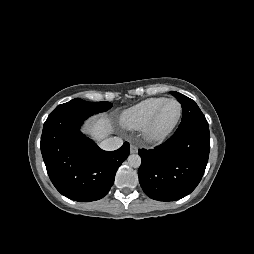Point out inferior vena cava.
I'll return each instance as SVG.
<instances>
[{"instance_id":"1","label":"inferior vena cava","mask_w":254,"mask_h":254,"mask_svg":"<svg viewBox=\"0 0 254 254\" xmlns=\"http://www.w3.org/2000/svg\"><path fill=\"white\" fill-rule=\"evenodd\" d=\"M123 140L119 137H110L100 143V148L106 151H113L120 148Z\"/></svg>"}]
</instances>
